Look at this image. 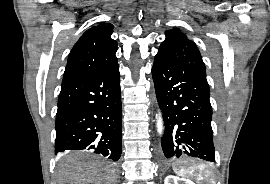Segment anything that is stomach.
Masks as SVG:
<instances>
[{
    "instance_id": "1",
    "label": "stomach",
    "mask_w": 270,
    "mask_h": 184,
    "mask_svg": "<svg viewBox=\"0 0 270 184\" xmlns=\"http://www.w3.org/2000/svg\"><path fill=\"white\" fill-rule=\"evenodd\" d=\"M183 168H187V164L182 161H177L173 164V170L175 173H180Z\"/></svg>"
}]
</instances>
